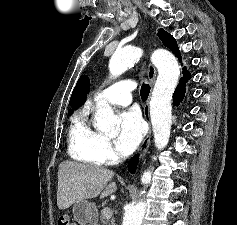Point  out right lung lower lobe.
I'll list each match as a JSON object with an SVG mask.
<instances>
[{"label": "right lung lower lobe", "mask_w": 237, "mask_h": 225, "mask_svg": "<svg viewBox=\"0 0 237 225\" xmlns=\"http://www.w3.org/2000/svg\"><path fill=\"white\" fill-rule=\"evenodd\" d=\"M138 159H139L138 156H135L130 160L129 165H128V170L130 172L133 173L135 171Z\"/></svg>", "instance_id": "1"}]
</instances>
